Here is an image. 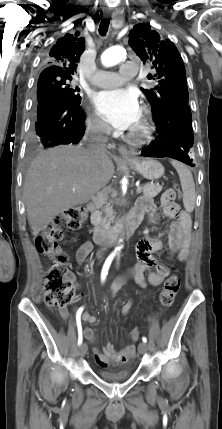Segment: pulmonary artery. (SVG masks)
<instances>
[{
    "instance_id": "1",
    "label": "pulmonary artery",
    "mask_w": 222,
    "mask_h": 429,
    "mask_svg": "<svg viewBox=\"0 0 222 429\" xmlns=\"http://www.w3.org/2000/svg\"><path fill=\"white\" fill-rule=\"evenodd\" d=\"M138 73V66L131 61L123 62L119 72L98 70L91 82L101 88L115 87L126 80H130Z\"/></svg>"
}]
</instances>
